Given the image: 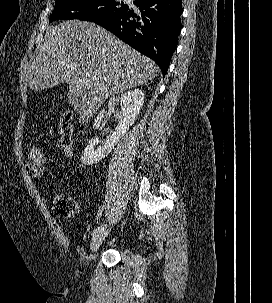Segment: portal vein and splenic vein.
<instances>
[{
	"mask_svg": "<svg viewBox=\"0 0 272 303\" xmlns=\"http://www.w3.org/2000/svg\"><path fill=\"white\" fill-rule=\"evenodd\" d=\"M93 79L97 80L98 77H94ZM80 82L85 83V82H87V79H86V78H82V79L80 80Z\"/></svg>",
	"mask_w": 272,
	"mask_h": 303,
	"instance_id": "obj_1",
	"label": "portal vein and splenic vein"
}]
</instances>
